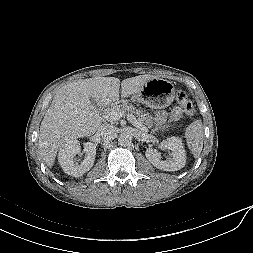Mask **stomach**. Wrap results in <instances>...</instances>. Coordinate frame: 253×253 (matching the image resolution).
<instances>
[{"instance_id":"stomach-1","label":"stomach","mask_w":253,"mask_h":253,"mask_svg":"<svg viewBox=\"0 0 253 253\" xmlns=\"http://www.w3.org/2000/svg\"><path fill=\"white\" fill-rule=\"evenodd\" d=\"M175 97L173 82L163 78H152L147 81L132 99L150 108L161 109L169 106Z\"/></svg>"}]
</instances>
